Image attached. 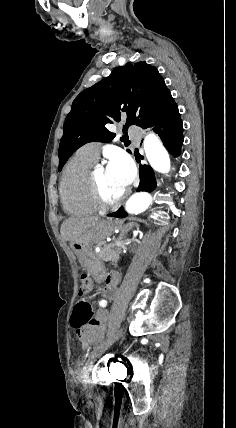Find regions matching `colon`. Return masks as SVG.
<instances>
[{
  "label": "colon",
  "mask_w": 236,
  "mask_h": 428,
  "mask_svg": "<svg viewBox=\"0 0 236 428\" xmlns=\"http://www.w3.org/2000/svg\"><path fill=\"white\" fill-rule=\"evenodd\" d=\"M93 289V282L87 276H82L80 280V295L86 297ZM96 322L92 308L85 299L81 300L74 308L71 315V326L76 332H80L87 324Z\"/></svg>",
  "instance_id": "colon-1"
}]
</instances>
